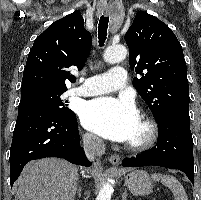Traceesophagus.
<instances>
[{
    "instance_id": "esophagus-1",
    "label": "esophagus",
    "mask_w": 201,
    "mask_h": 200,
    "mask_svg": "<svg viewBox=\"0 0 201 200\" xmlns=\"http://www.w3.org/2000/svg\"><path fill=\"white\" fill-rule=\"evenodd\" d=\"M110 12H111V10L110 9H105V14H110ZM119 161H120V157H119V155H117V154H114V155H111L110 157H109V162L113 165V166H117L118 165V163H119Z\"/></svg>"
}]
</instances>
